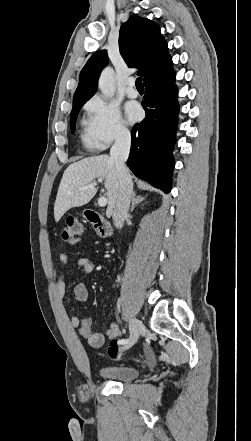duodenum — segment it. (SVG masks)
Listing matches in <instances>:
<instances>
[{
	"label": "duodenum",
	"mask_w": 251,
	"mask_h": 441,
	"mask_svg": "<svg viewBox=\"0 0 251 441\" xmlns=\"http://www.w3.org/2000/svg\"><path fill=\"white\" fill-rule=\"evenodd\" d=\"M85 218L93 226L99 237L109 238L112 235L110 223L98 212L88 209L85 211Z\"/></svg>",
	"instance_id": "410a0bca"
}]
</instances>
